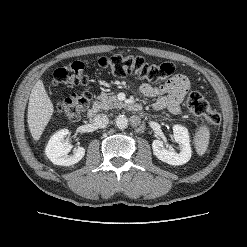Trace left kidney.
I'll return each mask as SVG.
<instances>
[{"mask_svg":"<svg viewBox=\"0 0 247 247\" xmlns=\"http://www.w3.org/2000/svg\"><path fill=\"white\" fill-rule=\"evenodd\" d=\"M172 137L180 146L181 151L179 153L172 148H165L162 140L153 141V153L162 162L174 166L183 165L190 160L192 154L189 132L184 126L174 125Z\"/></svg>","mask_w":247,"mask_h":247,"instance_id":"5707ae66","label":"left kidney"}]
</instances>
